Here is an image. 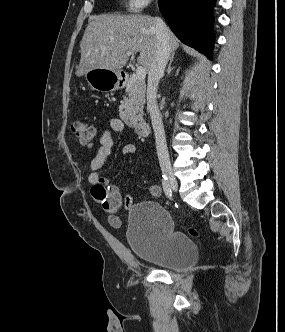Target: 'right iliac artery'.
I'll list each match as a JSON object with an SVG mask.
<instances>
[{
  "instance_id": "right-iliac-artery-1",
  "label": "right iliac artery",
  "mask_w": 285,
  "mask_h": 332,
  "mask_svg": "<svg viewBox=\"0 0 285 332\" xmlns=\"http://www.w3.org/2000/svg\"><path fill=\"white\" fill-rule=\"evenodd\" d=\"M162 186H163V189H164V192H165L166 196L168 198H171L172 197V191H171V188L169 186L168 179L165 175H162Z\"/></svg>"
}]
</instances>
